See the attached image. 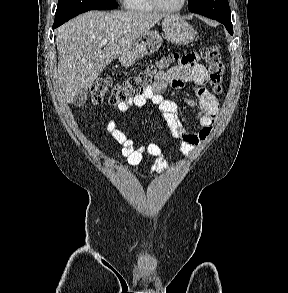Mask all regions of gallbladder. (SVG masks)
Wrapping results in <instances>:
<instances>
[{
    "instance_id": "obj_1",
    "label": "gallbladder",
    "mask_w": 288,
    "mask_h": 293,
    "mask_svg": "<svg viewBox=\"0 0 288 293\" xmlns=\"http://www.w3.org/2000/svg\"><path fill=\"white\" fill-rule=\"evenodd\" d=\"M86 100H87V95H86V93L80 91V92H78V93L74 96L72 102H73V104H74L75 106H77V107H81V106H83V105L85 104Z\"/></svg>"
}]
</instances>
